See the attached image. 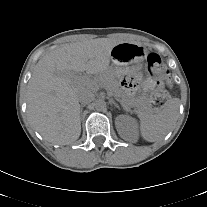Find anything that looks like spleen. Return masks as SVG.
<instances>
[{
    "mask_svg": "<svg viewBox=\"0 0 207 207\" xmlns=\"http://www.w3.org/2000/svg\"><path fill=\"white\" fill-rule=\"evenodd\" d=\"M179 105V99H171L161 112L142 119L140 123L142 138L149 142L164 138L177 122Z\"/></svg>",
    "mask_w": 207,
    "mask_h": 207,
    "instance_id": "1",
    "label": "spleen"
}]
</instances>
